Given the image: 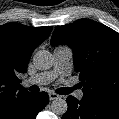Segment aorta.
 <instances>
[{"label": "aorta", "mask_w": 119, "mask_h": 119, "mask_svg": "<svg viewBox=\"0 0 119 119\" xmlns=\"http://www.w3.org/2000/svg\"><path fill=\"white\" fill-rule=\"evenodd\" d=\"M53 55L47 50H40L33 56V63L39 70L50 69L53 65ZM52 111L57 115H63L67 112L68 105L66 100L62 98H56L51 104Z\"/></svg>", "instance_id": "762f6f07"}]
</instances>
